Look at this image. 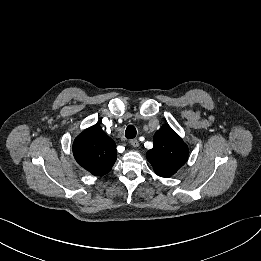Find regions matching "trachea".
<instances>
[{"label": "trachea", "instance_id": "1", "mask_svg": "<svg viewBox=\"0 0 261 261\" xmlns=\"http://www.w3.org/2000/svg\"><path fill=\"white\" fill-rule=\"evenodd\" d=\"M137 131L133 125H129L125 130V136L128 139H133L136 137Z\"/></svg>", "mask_w": 261, "mask_h": 261}]
</instances>
